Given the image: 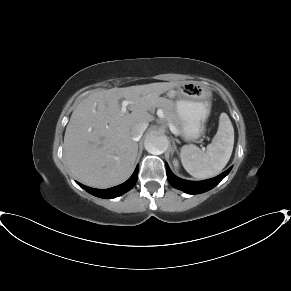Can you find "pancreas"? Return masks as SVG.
<instances>
[{
	"label": "pancreas",
	"instance_id": "obj_1",
	"mask_svg": "<svg viewBox=\"0 0 291 291\" xmlns=\"http://www.w3.org/2000/svg\"><path fill=\"white\" fill-rule=\"evenodd\" d=\"M155 106L162 108L166 120L172 123L177 130H180L181 121L175 112V103L172 100L159 97Z\"/></svg>",
	"mask_w": 291,
	"mask_h": 291
}]
</instances>
